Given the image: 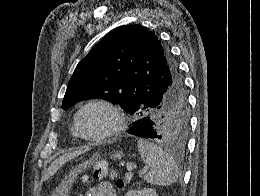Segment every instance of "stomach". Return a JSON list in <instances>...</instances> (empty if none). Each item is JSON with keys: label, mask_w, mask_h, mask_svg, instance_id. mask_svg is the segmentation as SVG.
Returning a JSON list of instances; mask_svg holds the SVG:
<instances>
[{"label": "stomach", "mask_w": 260, "mask_h": 196, "mask_svg": "<svg viewBox=\"0 0 260 196\" xmlns=\"http://www.w3.org/2000/svg\"><path fill=\"white\" fill-rule=\"evenodd\" d=\"M123 156H124V152H121V150H118V152H114V154H110L111 160H121ZM93 160L94 158H90V160H85V162L79 164L76 170H72V172H70L69 180H61V185H69V190H70L72 184H75V180H77L79 172H82V170H88ZM59 195L60 196L66 195V192L62 191V187H51V191H48V196H59Z\"/></svg>", "instance_id": "stomach-1"}]
</instances>
